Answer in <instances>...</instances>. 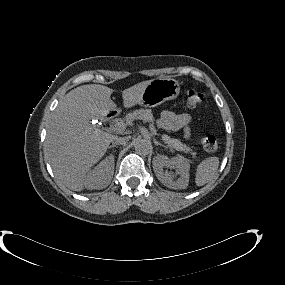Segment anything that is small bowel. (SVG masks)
<instances>
[{
  "mask_svg": "<svg viewBox=\"0 0 285 285\" xmlns=\"http://www.w3.org/2000/svg\"><path fill=\"white\" fill-rule=\"evenodd\" d=\"M191 116L188 113H174L165 111L161 113L158 120L159 126L169 132H174L182 129L185 137L190 134Z\"/></svg>",
  "mask_w": 285,
  "mask_h": 285,
  "instance_id": "c3829d8e",
  "label": "small bowel"
}]
</instances>
